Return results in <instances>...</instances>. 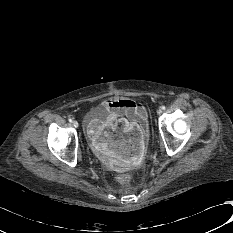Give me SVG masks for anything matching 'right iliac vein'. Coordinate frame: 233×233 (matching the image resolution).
Wrapping results in <instances>:
<instances>
[{
	"instance_id": "63e3f726",
	"label": "right iliac vein",
	"mask_w": 233,
	"mask_h": 233,
	"mask_svg": "<svg viewBox=\"0 0 233 233\" xmlns=\"http://www.w3.org/2000/svg\"><path fill=\"white\" fill-rule=\"evenodd\" d=\"M73 126L75 127V128H78V122L77 121H73Z\"/></svg>"
}]
</instances>
